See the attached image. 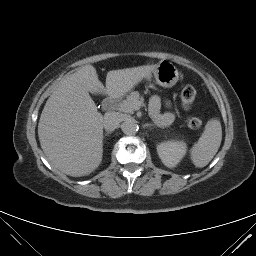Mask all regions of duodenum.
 I'll list each match as a JSON object with an SVG mask.
<instances>
[{"label": "duodenum", "instance_id": "obj_1", "mask_svg": "<svg viewBox=\"0 0 256 256\" xmlns=\"http://www.w3.org/2000/svg\"><path fill=\"white\" fill-rule=\"evenodd\" d=\"M118 95L117 94H112L110 96H108L104 102H103V108L105 111H110L113 106H114V103L117 99Z\"/></svg>", "mask_w": 256, "mask_h": 256}]
</instances>
